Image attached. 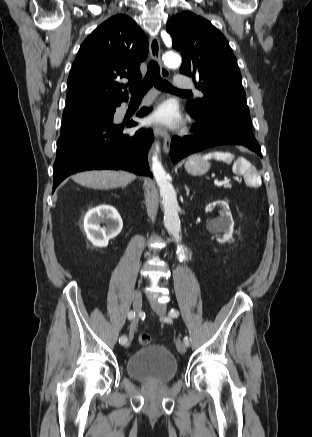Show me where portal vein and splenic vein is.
Listing matches in <instances>:
<instances>
[{
	"mask_svg": "<svg viewBox=\"0 0 312 437\" xmlns=\"http://www.w3.org/2000/svg\"><path fill=\"white\" fill-rule=\"evenodd\" d=\"M227 181H225V180H223V181H218V180H216L214 183H215V185H217V186H221V185H223V184H225Z\"/></svg>",
	"mask_w": 312,
	"mask_h": 437,
	"instance_id": "obj_1",
	"label": "portal vein and splenic vein"
}]
</instances>
